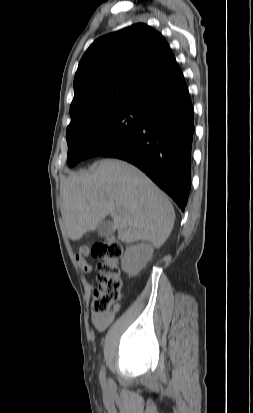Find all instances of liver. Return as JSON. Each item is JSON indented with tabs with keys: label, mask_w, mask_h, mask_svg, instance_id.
Instances as JSON below:
<instances>
[{
	"label": "liver",
	"mask_w": 253,
	"mask_h": 413,
	"mask_svg": "<svg viewBox=\"0 0 253 413\" xmlns=\"http://www.w3.org/2000/svg\"><path fill=\"white\" fill-rule=\"evenodd\" d=\"M62 218L68 237L79 240L95 230L107 215L118 239L145 240L160 248L174 225L175 212L168 197L139 169L105 159L94 169L71 174L62 191Z\"/></svg>",
	"instance_id": "liver-1"
}]
</instances>
